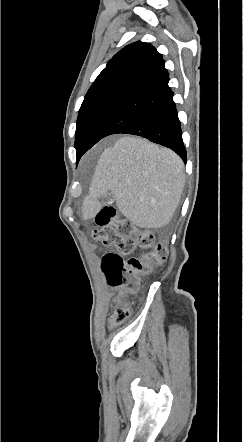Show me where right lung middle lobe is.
<instances>
[{
	"instance_id": "right-lung-middle-lobe-1",
	"label": "right lung middle lobe",
	"mask_w": 243,
	"mask_h": 442,
	"mask_svg": "<svg viewBox=\"0 0 243 442\" xmlns=\"http://www.w3.org/2000/svg\"><path fill=\"white\" fill-rule=\"evenodd\" d=\"M128 93H110L84 100L79 110L75 133L77 162L85 153L86 147L98 125L109 111Z\"/></svg>"
}]
</instances>
